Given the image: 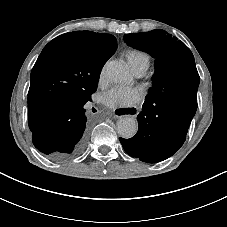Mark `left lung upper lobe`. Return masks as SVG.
<instances>
[{
    "mask_svg": "<svg viewBox=\"0 0 227 227\" xmlns=\"http://www.w3.org/2000/svg\"><path fill=\"white\" fill-rule=\"evenodd\" d=\"M131 47L141 49L156 59L153 86L145 100L156 94H167V88L185 81V77L198 73L190 49L176 37L163 30L124 35Z\"/></svg>",
    "mask_w": 227,
    "mask_h": 227,
    "instance_id": "5c2ea615",
    "label": "left lung upper lobe"
}]
</instances>
